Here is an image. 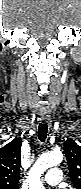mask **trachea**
I'll return each mask as SVG.
<instances>
[{
  "mask_svg": "<svg viewBox=\"0 0 81 189\" xmlns=\"http://www.w3.org/2000/svg\"><path fill=\"white\" fill-rule=\"evenodd\" d=\"M48 132L47 123H40L38 127V138L41 142H45Z\"/></svg>",
  "mask_w": 81,
  "mask_h": 189,
  "instance_id": "1",
  "label": "trachea"
}]
</instances>
